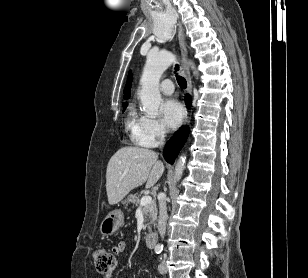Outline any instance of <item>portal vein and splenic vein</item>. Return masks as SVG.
Masks as SVG:
<instances>
[{
  "label": "portal vein and splenic vein",
  "instance_id": "obj_1",
  "mask_svg": "<svg viewBox=\"0 0 308 278\" xmlns=\"http://www.w3.org/2000/svg\"><path fill=\"white\" fill-rule=\"evenodd\" d=\"M152 201V197L150 195H145L140 200V205L149 204Z\"/></svg>",
  "mask_w": 308,
  "mask_h": 278
}]
</instances>
